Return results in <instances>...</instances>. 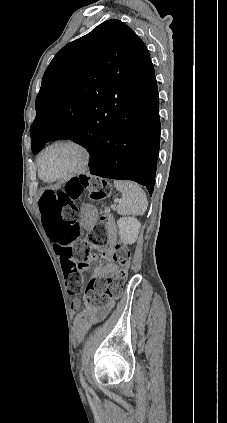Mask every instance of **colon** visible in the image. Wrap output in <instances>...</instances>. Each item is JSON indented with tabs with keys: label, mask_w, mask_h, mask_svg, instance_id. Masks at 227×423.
<instances>
[{
	"label": "colon",
	"mask_w": 227,
	"mask_h": 423,
	"mask_svg": "<svg viewBox=\"0 0 227 423\" xmlns=\"http://www.w3.org/2000/svg\"><path fill=\"white\" fill-rule=\"evenodd\" d=\"M87 189L91 191V197L94 199L108 194L106 184L80 177L70 180L63 188L44 189L38 202L43 226L50 239L57 244V254L60 256L66 288L70 295L81 291L83 273L89 269L93 258L91 248L104 246L108 242L109 229L113 224L111 216H102L87 242L73 245L74 237L79 231V210L76 201ZM113 260L119 264V270L105 279L92 278L85 288L84 299L89 312L100 310L122 294L128 275L129 250L123 245H116Z\"/></svg>",
	"instance_id": "colon-1"
}]
</instances>
